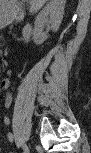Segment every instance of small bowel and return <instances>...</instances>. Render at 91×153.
<instances>
[{"mask_svg":"<svg viewBox=\"0 0 91 153\" xmlns=\"http://www.w3.org/2000/svg\"><path fill=\"white\" fill-rule=\"evenodd\" d=\"M9 85H10V79L9 78H4L1 81V88L5 90V92L3 93V96H2V102H3L4 106H10L11 103H12V95L7 90ZM6 123L8 124V121H6ZM8 140L11 143L14 142V136L11 133L8 134Z\"/></svg>","mask_w":91,"mask_h":153,"instance_id":"small-bowel-1","label":"small bowel"}]
</instances>
